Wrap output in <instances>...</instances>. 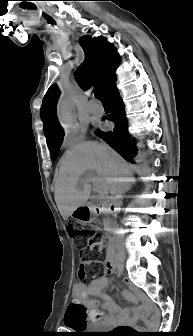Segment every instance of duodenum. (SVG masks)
Returning <instances> with one entry per match:
<instances>
[{
    "instance_id": "410a0bca",
    "label": "duodenum",
    "mask_w": 193,
    "mask_h": 336,
    "mask_svg": "<svg viewBox=\"0 0 193 336\" xmlns=\"http://www.w3.org/2000/svg\"><path fill=\"white\" fill-rule=\"evenodd\" d=\"M113 209H114V206H111V204H108V205L101 204V205L95 206L96 212L100 214L107 212V210H113ZM107 262L111 266H115V252H114V246H113L112 241H110L108 245Z\"/></svg>"
}]
</instances>
